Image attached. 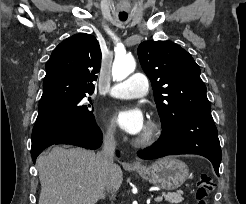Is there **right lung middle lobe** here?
Returning a JSON list of instances; mask_svg holds the SVG:
<instances>
[{
    "mask_svg": "<svg viewBox=\"0 0 246 204\" xmlns=\"http://www.w3.org/2000/svg\"><path fill=\"white\" fill-rule=\"evenodd\" d=\"M87 94L91 93H68L40 101L37 118L51 117L62 121L88 123L94 120V115L89 109L92 104L90 98L89 104L83 100Z\"/></svg>",
    "mask_w": 246,
    "mask_h": 204,
    "instance_id": "dd1d6c3e",
    "label": "right lung middle lobe"
}]
</instances>
